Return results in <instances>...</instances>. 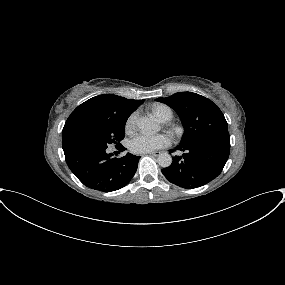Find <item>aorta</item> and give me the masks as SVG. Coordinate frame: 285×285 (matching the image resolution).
Segmentation results:
<instances>
[{"label": "aorta", "mask_w": 285, "mask_h": 285, "mask_svg": "<svg viewBox=\"0 0 285 285\" xmlns=\"http://www.w3.org/2000/svg\"><path fill=\"white\" fill-rule=\"evenodd\" d=\"M137 126L140 130L148 133H156L159 131L158 124L148 117L139 118L137 121ZM157 162L161 167L166 168L171 165L172 157L168 153H161L157 158Z\"/></svg>", "instance_id": "aorta-1"}]
</instances>
